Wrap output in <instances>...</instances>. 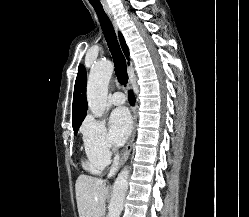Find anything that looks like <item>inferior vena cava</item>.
<instances>
[{
  "mask_svg": "<svg viewBox=\"0 0 249 217\" xmlns=\"http://www.w3.org/2000/svg\"><path fill=\"white\" fill-rule=\"evenodd\" d=\"M118 164H119V155H118V153H116L115 157H114L113 165H112L111 170L108 174V177H111L116 172Z\"/></svg>",
  "mask_w": 249,
  "mask_h": 217,
  "instance_id": "obj_1",
  "label": "inferior vena cava"
}]
</instances>
